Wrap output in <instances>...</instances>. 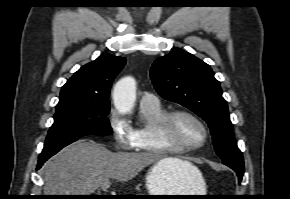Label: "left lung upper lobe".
<instances>
[{
	"mask_svg": "<svg viewBox=\"0 0 290 199\" xmlns=\"http://www.w3.org/2000/svg\"><path fill=\"white\" fill-rule=\"evenodd\" d=\"M150 75L161 97L187 107L208 123L216 153L223 161L243 160L234 138L227 102L208 64L177 49L158 58Z\"/></svg>",
	"mask_w": 290,
	"mask_h": 199,
	"instance_id": "1",
	"label": "left lung upper lobe"
}]
</instances>
